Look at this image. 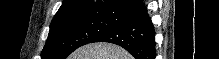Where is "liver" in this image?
<instances>
[{
    "mask_svg": "<svg viewBox=\"0 0 219 59\" xmlns=\"http://www.w3.org/2000/svg\"><path fill=\"white\" fill-rule=\"evenodd\" d=\"M68 59H133V57L117 45L93 43L78 48Z\"/></svg>",
    "mask_w": 219,
    "mask_h": 59,
    "instance_id": "6515ba94",
    "label": "liver"
}]
</instances>
